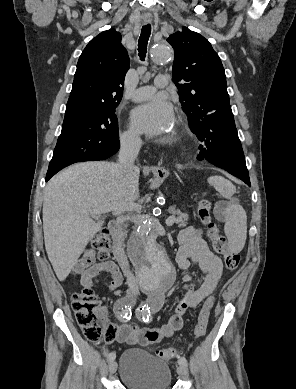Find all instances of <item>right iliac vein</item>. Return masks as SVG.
Segmentation results:
<instances>
[{
    "label": "right iliac vein",
    "instance_id": "right-iliac-vein-1",
    "mask_svg": "<svg viewBox=\"0 0 296 389\" xmlns=\"http://www.w3.org/2000/svg\"><path fill=\"white\" fill-rule=\"evenodd\" d=\"M108 369L111 374L115 373L117 369V363L115 362V360L109 361Z\"/></svg>",
    "mask_w": 296,
    "mask_h": 389
}]
</instances>
